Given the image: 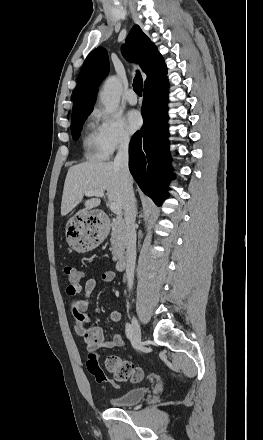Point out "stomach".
Here are the masks:
<instances>
[{"instance_id": "0dacf381", "label": "stomach", "mask_w": 263, "mask_h": 440, "mask_svg": "<svg viewBox=\"0 0 263 440\" xmlns=\"http://www.w3.org/2000/svg\"><path fill=\"white\" fill-rule=\"evenodd\" d=\"M96 213L89 211L71 217L66 224L69 246L79 253L95 249L106 237L105 227L97 222Z\"/></svg>"}]
</instances>
